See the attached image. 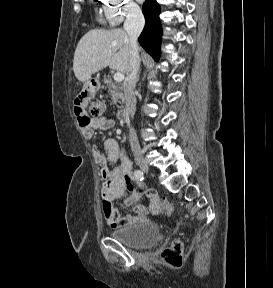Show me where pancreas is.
Listing matches in <instances>:
<instances>
[{"label": "pancreas", "mask_w": 273, "mask_h": 288, "mask_svg": "<svg viewBox=\"0 0 273 288\" xmlns=\"http://www.w3.org/2000/svg\"><path fill=\"white\" fill-rule=\"evenodd\" d=\"M104 84L112 98V102L114 104L119 103L123 97L121 86L117 82H113L109 77L104 79Z\"/></svg>", "instance_id": "obj_1"}]
</instances>
